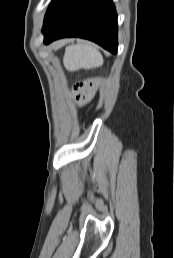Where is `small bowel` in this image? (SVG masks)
<instances>
[{
    "label": "small bowel",
    "mask_w": 174,
    "mask_h": 258,
    "mask_svg": "<svg viewBox=\"0 0 174 258\" xmlns=\"http://www.w3.org/2000/svg\"><path fill=\"white\" fill-rule=\"evenodd\" d=\"M99 79L92 80L89 84L82 88V90L77 94L79 101H86L89 99L94 91V89L99 84Z\"/></svg>",
    "instance_id": "1"
}]
</instances>
